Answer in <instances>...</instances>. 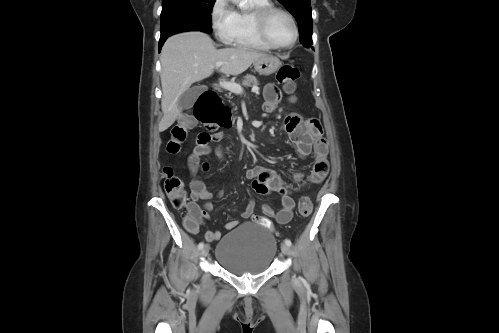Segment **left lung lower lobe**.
<instances>
[{
	"instance_id": "obj_1",
	"label": "left lung lower lobe",
	"mask_w": 499,
	"mask_h": 333,
	"mask_svg": "<svg viewBox=\"0 0 499 333\" xmlns=\"http://www.w3.org/2000/svg\"><path fill=\"white\" fill-rule=\"evenodd\" d=\"M304 46L308 48L310 45L304 44Z\"/></svg>"
}]
</instances>
